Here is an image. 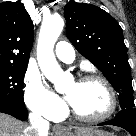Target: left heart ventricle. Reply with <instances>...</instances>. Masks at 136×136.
<instances>
[{
    "mask_svg": "<svg viewBox=\"0 0 136 136\" xmlns=\"http://www.w3.org/2000/svg\"><path fill=\"white\" fill-rule=\"evenodd\" d=\"M70 103L81 115L95 117L109 107V95L103 84L97 81L71 82L66 87Z\"/></svg>",
    "mask_w": 136,
    "mask_h": 136,
    "instance_id": "1",
    "label": "left heart ventricle"
}]
</instances>
